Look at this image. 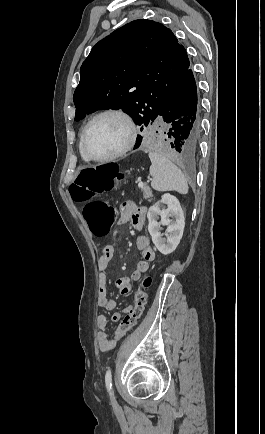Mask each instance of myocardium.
Instances as JSON below:
<instances>
[{
    "label": "myocardium",
    "instance_id": "myocardium-1",
    "mask_svg": "<svg viewBox=\"0 0 265 434\" xmlns=\"http://www.w3.org/2000/svg\"><path fill=\"white\" fill-rule=\"evenodd\" d=\"M108 115L118 116L126 122L127 127H128L127 141L121 149H119L117 152H115L112 155H109V156L103 157V158L92 157L85 150L86 137L88 136L91 127L99 119H101L102 117L108 116ZM137 134H138V129H137L136 123H135L133 117L127 111H125L122 108H107V109H104V110L98 112L97 114H95L91 118V120L86 124L85 128L83 129V133L80 137V140H79V151H80L81 156L86 161H88L90 163L102 164V163L111 162V161H114L116 159L123 157L134 147V145L136 143V139H137Z\"/></svg>",
    "mask_w": 265,
    "mask_h": 434
}]
</instances>
